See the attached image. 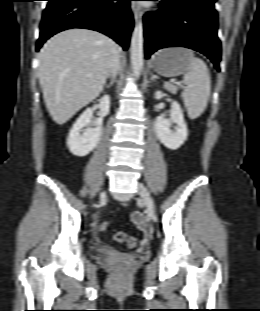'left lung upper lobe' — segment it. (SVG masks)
<instances>
[{"instance_id": "1", "label": "left lung upper lobe", "mask_w": 260, "mask_h": 311, "mask_svg": "<svg viewBox=\"0 0 260 311\" xmlns=\"http://www.w3.org/2000/svg\"><path fill=\"white\" fill-rule=\"evenodd\" d=\"M204 1L214 4L217 0H204Z\"/></svg>"}]
</instances>
